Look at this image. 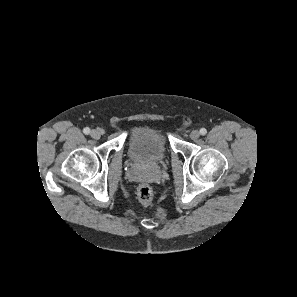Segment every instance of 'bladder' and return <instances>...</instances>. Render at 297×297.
Masks as SVG:
<instances>
[{
    "label": "bladder",
    "instance_id": "bladder-1",
    "mask_svg": "<svg viewBox=\"0 0 297 297\" xmlns=\"http://www.w3.org/2000/svg\"><path fill=\"white\" fill-rule=\"evenodd\" d=\"M126 151L129 159L139 166H158L167 157L166 140L158 128L134 126L127 135Z\"/></svg>",
    "mask_w": 297,
    "mask_h": 297
}]
</instances>
